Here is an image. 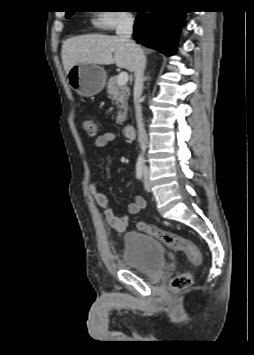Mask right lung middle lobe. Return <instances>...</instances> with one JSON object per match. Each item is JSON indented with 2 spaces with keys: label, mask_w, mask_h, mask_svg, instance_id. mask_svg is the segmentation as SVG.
I'll use <instances>...</instances> for the list:
<instances>
[{
  "label": "right lung middle lobe",
  "mask_w": 254,
  "mask_h": 355,
  "mask_svg": "<svg viewBox=\"0 0 254 355\" xmlns=\"http://www.w3.org/2000/svg\"><path fill=\"white\" fill-rule=\"evenodd\" d=\"M72 14H73V12H67V13H66V17L68 18V17H70Z\"/></svg>",
  "instance_id": "1"
}]
</instances>
